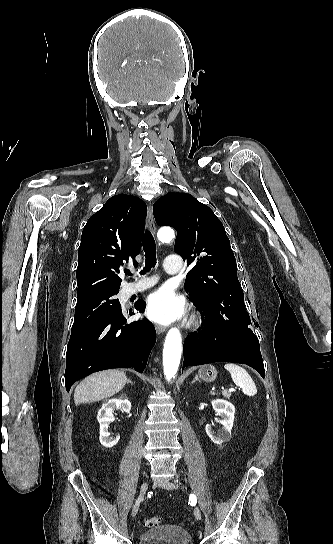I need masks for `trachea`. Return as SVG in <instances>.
<instances>
[{
    "label": "trachea",
    "instance_id": "1",
    "mask_svg": "<svg viewBox=\"0 0 333 544\" xmlns=\"http://www.w3.org/2000/svg\"><path fill=\"white\" fill-rule=\"evenodd\" d=\"M143 249L145 252V267L141 271V274L148 272L156 264V246L152 234L147 231L143 238ZM127 275H131L129 270H126Z\"/></svg>",
    "mask_w": 333,
    "mask_h": 544
}]
</instances>
